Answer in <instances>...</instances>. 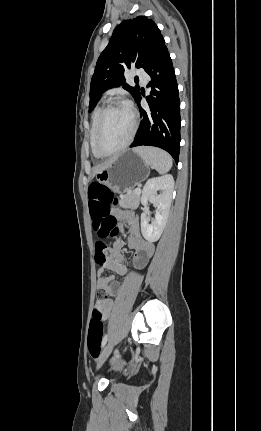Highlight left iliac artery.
Listing matches in <instances>:
<instances>
[{
	"instance_id": "44dca946",
	"label": "left iliac artery",
	"mask_w": 261,
	"mask_h": 431,
	"mask_svg": "<svg viewBox=\"0 0 261 431\" xmlns=\"http://www.w3.org/2000/svg\"><path fill=\"white\" fill-rule=\"evenodd\" d=\"M107 339H108V336H107V334H106V335L104 336L103 340H102L101 348H103V347L105 346V344H106V342H107Z\"/></svg>"
}]
</instances>
